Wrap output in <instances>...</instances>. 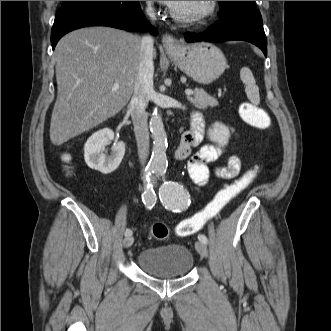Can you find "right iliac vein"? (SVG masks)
I'll use <instances>...</instances> for the list:
<instances>
[{"instance_id":"right-iliac-vein-1","label":"right iliac vein","mask_w":331,"mask_h":331,"mask_svg":"<svg viewBox=\"0 0 331 331\" xmlns=\"http://www.w3.org/2000/svg\"><path fill=\"white\" fill-rule=\"evenodd\" d=\"M134 242V239L132 236H126L123 240V246L124 248H129Z\"/></svg>"}]
</instances>
